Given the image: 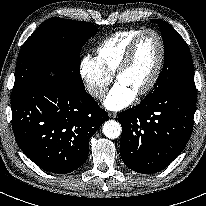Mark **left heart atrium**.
Here are the masks:
<instances>
[{"instance_id":"left-heart-atrium-1","label":"left heart atrium","mask_w":206,"mask_h":206,"mask_svg":"<svg viewBox=\"0 0 206 206\" xmlns=\"http://www.w3.org/2000/svg\"><path fill=\"white\" fill-rule=\"evenodd\" d=\"M136 94L124 84L117 82L106 95L103 104L111 111H119L129 106Z\"/></svg>"}]
</instances>
